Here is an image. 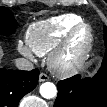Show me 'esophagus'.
Here are the masks:
<instances>
[{"mask_svg": "<svg viewBox=\"0 0 107 107\" xmlns=\"http://www.w3.org/2000/svg\"><path fill=\"white\" fill-rule=\"evenodd\" d=\"M48 80H49V77L45 73H40V75H39V81L40 82H45Z\"/></svg>", "mask_w": 107, "mask_h": 107, "instance_id": "esophagus-1", "label": "esophagus"}]
</instances>
